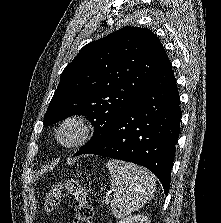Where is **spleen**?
Masks as SVG:
<instances>
[{
	"label": "spleen",
	"instance_id": "obj_1",
	"mask_svg": "<svg viewBox=\"0 0 221 223\" xmlns=\"http://www.w3.org/2000/svg\"><path fill=\"white\" fill-rule=\"evenodd\" d=\"M111 175V190L114 198L111 211L114 217L122 218L138 211L151 200L156 190L153 174L145 168L120 160L106 164Z\"/></svg>",
	"mask_w": 221,
	"mask_h": 223
}]
</instances>
